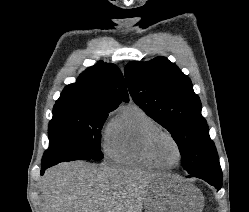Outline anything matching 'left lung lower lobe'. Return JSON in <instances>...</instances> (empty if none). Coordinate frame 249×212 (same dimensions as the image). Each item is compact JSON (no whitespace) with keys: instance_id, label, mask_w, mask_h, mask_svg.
I'll return each instance as SVG.
<instances>
[{"instance_id":"1","label":"left lung lower lobe","mask_w":249,"mask_h":212,"mask_svg":"<svg viewBox=\"0 0 249 212\" xmlns=\"http://www.w3.org/2000/svg\"><path fill=\"white\" fill-rule=\"evenodd\" d=\"M192 177H197L208 182L210 185L214 186L217 191L222 187V172L221 171H211L205 172L203 174H198Z\"/></svg>"}]
</instances>
